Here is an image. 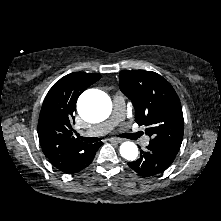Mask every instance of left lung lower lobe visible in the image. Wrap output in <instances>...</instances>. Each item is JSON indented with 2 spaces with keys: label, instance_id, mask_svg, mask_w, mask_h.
I'll return each mask as SVG.
<instances>
[{
  "label": "left lung lower lobe",
  "instance_id": "0a47b994",
  "mask_svg": "<svg viewBox=\"0 0 221 221\" xmlns=\"http://www.w3.org/2000/svg\"><path fill=\"white\" fill-rule=\"evenodd\" d=\"M146 148L145 152L141 151V156L137 161L128 163L130 168L144 177L164 172L171 165L179 151L153 142H149Z\"/></svg>",
  "mask_w": 221,
  "mask_h": 221
}]
</instances>
